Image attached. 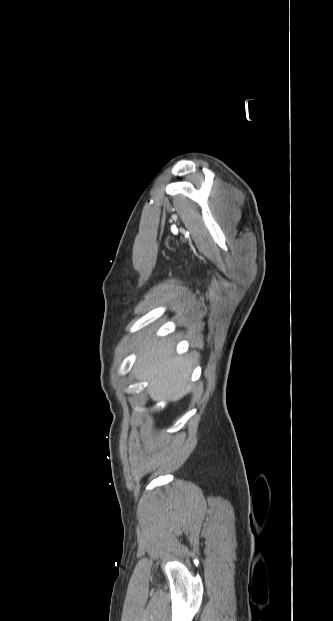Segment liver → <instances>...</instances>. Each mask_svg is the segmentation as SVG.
Masks as SVG:
<instances>
[{
	"mask_svg": "<svg viewBox=\"0 0 333 621\" xmlns=\"http://www.w3.org/2000/svg\"><path fill=\"white\" fill-rule=\"evenodd\" d=\"M138 349L134 376L148 381L147 390L154 400L176 401L189 392L193 355L175 356L170 338L155 340L151 334L138 344Z\"/></svg>",
	"mask_w": 333,
	"mask_h": 621,
	"instance_id": "liver-1",
	"label": "liver"
}]
</instances>
